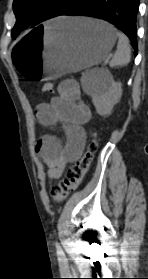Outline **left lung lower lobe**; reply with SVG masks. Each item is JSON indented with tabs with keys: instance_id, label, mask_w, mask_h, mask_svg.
<instances>
[{
	"instance_id": "obj_1",
	"label": "left lung lower lobe",
	"mask_w": 148,
	"mask_h": 279,
	"mask_svg": "<svg viewBox=\"0 0 148 279\" xmlns=\"http://www.w3.org/2000/svg\"><path fill=\"white\" fill-rule=\"evenodd\" d=\"M138 7L139 0H74L59 15H81L104 19L129 37L137 54Z\"/></svg>"
}]
</instances>
